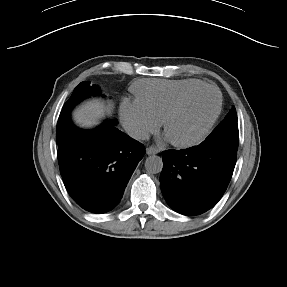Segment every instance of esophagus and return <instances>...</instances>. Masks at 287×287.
Wrapping results in <instances>:
<instances>
[{
    "label": "esophagus",
    "instance_id": "obj_1",
    "mask_svg": "<svg viewBox=\"0 0 287 287\" xmlns=\"http://www.w3.org/2000/svg\"><path fill=\"white\" fill-rule=\"evenodd\" d=\"M146 153L148 155L157 154L159 153V149H157L156 147L150 146L146 149Z\"/></svg>",
    "mask_w": 287,
    "mask_h": 287
}]
</instances>
